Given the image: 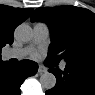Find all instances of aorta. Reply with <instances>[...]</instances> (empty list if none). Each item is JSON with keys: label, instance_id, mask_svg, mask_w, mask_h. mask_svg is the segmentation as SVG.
Masks as SVG:
<instances>
[{"label": "aorta", "instance_id": "1", "mask_svg": "<svg viewBox=\"0 0 95 95\" xmlns=\"http://www.w3.org/2000/svg\"><path fill=\"white\" fill-rule=\"evenodd\" d=\"M14 36L19 41L28 42L33 37V29L28 24L22 23L16 27ZM40 83L43 88L52 89L56 85V77L52 73L45 72L40 76Z\"/></svg>", "mask_w": 95, "mask_h": 95}]
</instances>
